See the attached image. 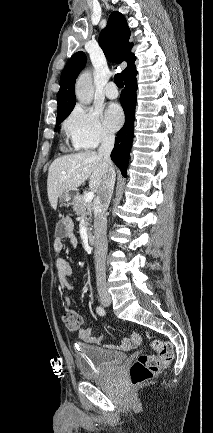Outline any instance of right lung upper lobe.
<instances>
[{
	"instance_id": "obj_1",
	"label": "right lung upper lobe",
	"mask_w": 213,
	"mask_h": 433,
	"mask_svg": "<svg viewBox=\"0 0 213 433\" xmlns=\"http://www.w3.org/2000/svg\"><path fill=\"white\" fill-rule=\"evenodd\" d=\"M130 29L126 19L119 12H112L107 26L99 35V44L106 58L111 62H127L123 71L126 76L135 68V55L131 53L133 43H129ZM86 64V55L79 51L75 53L64 67L60 78V90L57 96V120L65 118L73 110L76 97L74 94L75 81Z\"/></svg>"
}]
</instances>
